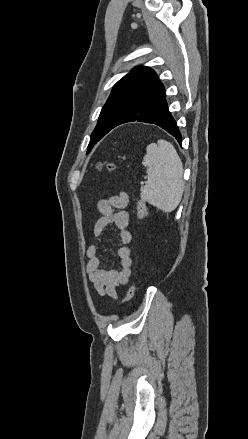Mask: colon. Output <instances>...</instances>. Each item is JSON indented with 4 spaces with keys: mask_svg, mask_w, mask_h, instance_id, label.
I'll return each instance as SVG.
<instances>
[{
    "mask_svg": "<svg viewBox=\"0 0 248 439\" xmlns=\"http://www.w3.org/2000/svg\"><path fill=\"white\" fill-rule=\"evenodd\" d=\"M103 167H106L109 171H116L117 170V167L115 166V164H113L111 162L97 164L98 169H101ZM136 207H137L139 219L140 220L146 219L148 217V209H147L145 203L140 198L136 199ZM135 291H136L135 284H131L126 292V295H125V302L126 303L131 301V299L134 296Z\"/></svg>",
    "mask_w": 248,
    "mask_h": 439,
    "instance_id": "obj_1",
    "label": "colon"
}]
</instances>
